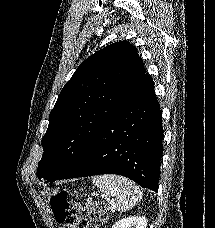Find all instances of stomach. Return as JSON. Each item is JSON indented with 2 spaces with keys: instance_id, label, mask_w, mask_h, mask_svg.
Returning a JSON list of instances; mask_svg holds the SVG:
<instances>
[{
  "instance_id": "stomach-1",
  "label": "stomach",
  "mask_w": 215,
  "mask_h": 228,
  "mask_svg": "<svg viewBox=\"0 0 215 228\" xmlns=\"http://www.w3.org/2000/svg\"><path fill=\"white\" fill-rule=\"evenodd\" d=\"M57 194V190H50V188H45L43 192L44 198H47L48 202H50L51 198Z\"/></svg>"
}]
</instances>
